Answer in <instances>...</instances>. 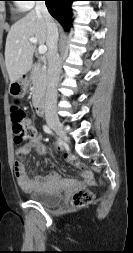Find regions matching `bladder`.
<instances>
[{
  "label": "bladder",
  "mask_w": 133,
  "mask_h": 253,
  "mask_svg": "<svg viewBox=\"0 0 133 253\" xmlns=\"http://www.w3.org/2000/svg\"><path fill=\"white\" fill-rule=\"evenodd\" d=\"M30 200L44 206V207H56L61 204L63 196L54 191L46 189H39L29 194Z\"/></svg>",
  "instance_id": "obj_1"
}]
</instances>
